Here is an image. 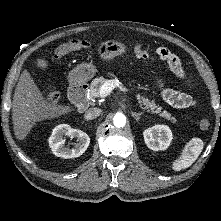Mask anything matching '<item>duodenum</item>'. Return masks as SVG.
I'll return each mask as SVG.
<instances>
[{
	"mask_svg": "<svg viewBox=\"0 0 221 221\" xmlns=\"http://www.w3.org/2000/svg\"><path fill=\"white\" fill-rule=\"evenodd\" d=\"M88 85L82 81L72 82L69 88V97L76 104L78 110L83 112L88 107Z\"/></svg>",
	"mask_w": 221,
	"mask_h": 221,
	"instance_id": "obj_1",
	"label": "duodenum"
}]
</instances>
